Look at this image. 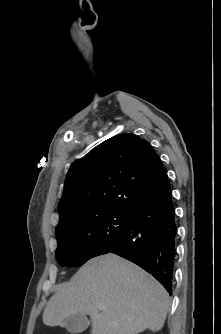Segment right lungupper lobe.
<instances>
[{"label": "right lung upper lobe", "instance_id": "obj_1", "mask_svg": "<svg viewBox=\"0 0 221 334\" xmlns=\"http://www.w3.org/2000/svg\"><path fill=\"white\" fill-rule=\"evenodd\" d=\"M168 180L152 146L135 134L102 142L75 161L59 202L56 237L87 219L110 213H132Z\"/></svg>", "mask_w": 221, "mask_h": 334}]
</instances>
